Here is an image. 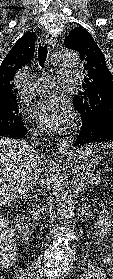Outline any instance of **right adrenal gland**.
I'll return each mask as SVG.
<instances>
[{"mask_svg": "<svg viewBox=\"0 0 113 279\" xmlns=\"http://www.w3.org/2000/svg\"><path fill=\"white\" fill-rule=\"evenodd\" d=\"M37 191H40V190H37ZM31 198L37 199V194H36V195L31 196Z\"/></svg>", "mask_w": 113, "mask_h": 279, "instance_id": "right-adrenal-gland-1", "label": "right adrenal gland"}]
</instances>
